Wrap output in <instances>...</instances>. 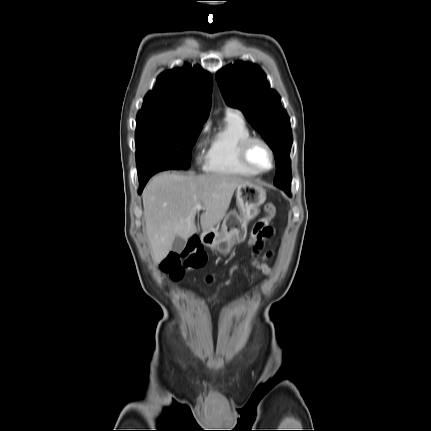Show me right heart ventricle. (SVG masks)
<instances>
[{
    "label": "right heart ventricle",
    "mask_w": 431,
    "mask_h": 431,
    "mask_svg": "<svg viewBox=\"0 0 431 431\" xmlns=\"http://www.w3.org/2000/svg\"><path fill=\"white\" fill-rule=\"evenodd\" d=\"M250 136V129L239 114L226 113L223 127L210 139L205 171L222 175L256 176L257 173L245 167L239 159L240 144Z\"/></svg>",
    "instance_id": "obj_1"
}]
</instances>
